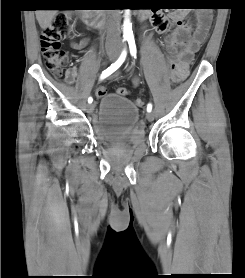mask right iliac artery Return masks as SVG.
<instances>
[{"mask_svg": "<svg viewBox=\"0 0 245 278\" xmlns=\"http://www.w3.org/2000/svg\"><path fill=\"white\" fill-rule=\"evenodd\" d=\"M126 50H124L122 52V54L120 55L119 59L111 64V66H109L106 70H104L100 76V79H104L106 77H108L109 75H111L115 70H117L121 65L122 63L124 62L125 58H126ZM93 99L92 97L88 98V103H92Z\"/></svg>", "mask_w": 245, "mask_h": 278, "instance_id": "right-iliac-artery-1", "label": "right iliac artery"}]
</instances>
